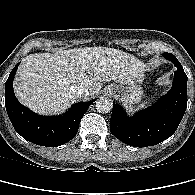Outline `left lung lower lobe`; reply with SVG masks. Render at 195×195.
<instances>
[{
  "mask_svg": "<svg viewBox=\"0 0 195 195\" xmlns=\"http://www.w3.org/2000/svg\"><path fill=\"white\" fill-rule=\"evenodd\" d=\"M171 90L152 106L126 116L123 108L113 104L110 120L111 133L134 147L156 145L174 134L187 108V76L180 62H175Z\"/></svg>",
  "mask_w": 195,
  "mask_h": 195,
  "instance_id": "left-lung-lower-lobe-1",
  "label": "left lung lower lobe"
}]
</instances>
